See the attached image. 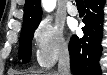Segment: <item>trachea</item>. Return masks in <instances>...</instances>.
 Masks as SVG:
<instances>
[{
  "label": "trachea",
  "mask_w": 107,
  "mask_h": 75,
  "mask_svg": "<svg viewBox=\"0 0 107 75\" xmlns=\"http://www.w3.org/2000/svg\"><path fill=\"white\" fill-rule=\"evenodd\" d=\"M76 3H77L78 5H83V1H82V0H76Z\"/></svg>",
  "instance_id": "1"
}]
</instances>
